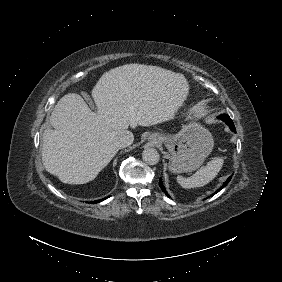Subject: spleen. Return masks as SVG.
Wrapping results in <instances>:
<instances>
[{
	"mask_svg": "<svg viewBox=\"0 0 282 282\" xmlns=\"http://www.w3.org/2000/svg\"><path fill=\"white\" fill-rule=\"evenodd\" d=\"M223 163L224 159L222 157H216L188 178L178 175L177 182L186 189L202 187L217 176L223 166Z\"/></svg>",
	"mask_w": 282,
	"mask_h": 282,
	"instance_id": "1",
	"label": "spleen"
}]
</instances>
